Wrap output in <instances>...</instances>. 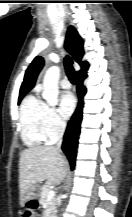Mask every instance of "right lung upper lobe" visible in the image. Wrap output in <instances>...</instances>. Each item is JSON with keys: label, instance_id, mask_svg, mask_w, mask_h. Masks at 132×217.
<instances>
[{"label": "right lung upper lobe", "instance_id": "right-lung-upper-lobe-1", "mask_svg": "<svg viewBox=\"0 0 132 217\" xmlns=\"http://www.w3.org/2000/svg\"><path fill=\"white\" fill-rule=\"evenodd\" d=\"M65 46L66 49L71 53L75 61L81 65V70L78 71V79L86 78V72L88 70L89 64L86 61H81L84 55L83 40L78 35L76 29L73 26H70L68 28ZM43 65V58L40 56L35 57V59L32 61V63L25 72L24 81L20 88L19 99H22L25 96V94L34 87L36 78L40 70L42 69Z\"/></svg>", "mask_w": 132, "mask_h": 217}]
</instances>
